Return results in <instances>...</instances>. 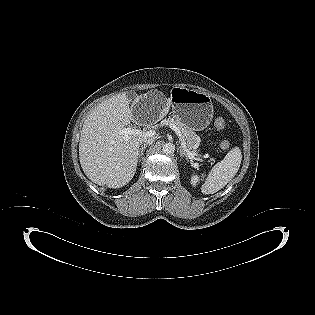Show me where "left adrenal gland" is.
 <instances>
[{
	"label": "left adrenal gland",
	"instance_id": "left-adrenal-gland-1",
	"mask_svg": "<svg viewBox=\"0 0 315 315\" xmlns=\"http://www.w3.org/2000/svg\"><path fill=\"white\" fill-rule=\"evenodd\" d=\"M179 152H180V157L181 158L185 157L186 160H188V156H187V154L185 153V151L183 150V148L181 146L179 147Z\"/></svg>",
	"mask_w": 315,
	"mask_h": 315
}]
</instances>
